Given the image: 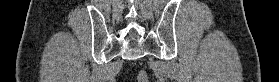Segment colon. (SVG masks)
I'll use <instances>...</instances> for the list:
<instances>
[{
	"instance_id": "obj_1",
	"label": "colon",
	"mask_w": 279,
	"mask_h": 82,
	"mask_svg": "<svg viewBox=\"0 0 279 82\" xmlns=\"http://www.w3.org/2000/svg\"><path fill=\"white\" fill-rule=\"evenodd\" d=\"M147 80H148L147 74H146L144 71H141V72L138 74V81H139V82H147Z\"/></svg>"
}]
</instances>
